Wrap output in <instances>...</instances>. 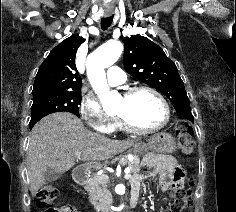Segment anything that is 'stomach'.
Here are the masks:
<instances>
[{"label": "stomach", "mask_w": 236, "mask_h": 212, "mask_svg": "<svg viewBox=\"0 0 236 212\" xmlns=\"http://www.w3.org/2000/svg\"><path fill=\"white\" fill-rule=\"evenodd\" d=\"M175 139L172 135L165 132L157 133L151 136L147 143H139L134 146V156L144 155L148 151L161 154H171L175 150Z\"/></svg>", "instance_id": "stomach-1"}]
</instances>
